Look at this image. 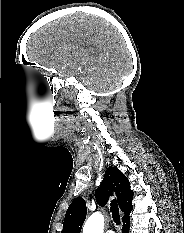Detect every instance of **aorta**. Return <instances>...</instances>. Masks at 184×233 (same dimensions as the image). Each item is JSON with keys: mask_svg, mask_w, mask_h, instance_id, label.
I'll list each match as a JSON object with an SVG mask.
<instances>
[{"mask_svg": "<svg viewBox=\"0 0 184 233\" xmlns=\"http://www.w3.org/2000/svg\"><path fill=\"white\" fill-rule=\"evenodd\" d=\"M104 217L101 213H93L83 227V233H103Z\"/></svg>", "mask_w": 184, "mask_h": 233, "instance_id": "aorta-1", "label": "aorta"}]
</instances>
